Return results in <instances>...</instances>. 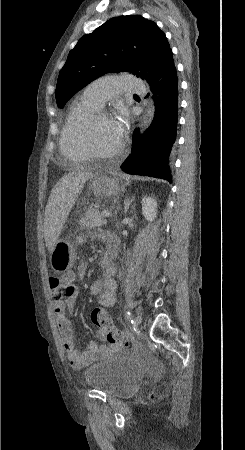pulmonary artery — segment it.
I'll return each instance as SVG.
<instances>
[{"label": "pulmonary artery", "instance_id": "pulmonary-artery-1", "mask_svg": "<svg viewBox=\"0 0 245 450\" xmlns=\"http://www.w3.org/2000/svg\"><path fill=\"white\" fill-rule=\"evenodd\" d=\"M144 87V82L135 76H104L88 84L83 94L95 105L101 107L110 98L120 94L141 93Z\"/></svg>", "mask_w": 245, "mask_h": 450}]
</instances>
